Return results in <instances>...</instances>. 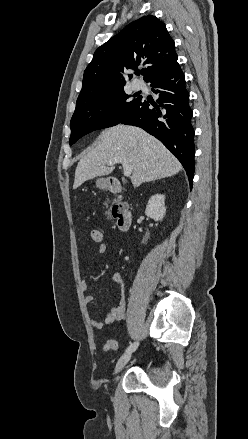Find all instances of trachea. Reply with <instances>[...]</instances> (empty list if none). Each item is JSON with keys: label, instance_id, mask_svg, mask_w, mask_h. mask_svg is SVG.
Returning a JSON list of instances; mask_svg holds the SVG:
<instances>
[{"label": "trachea", "instance_id": "3493384b", "mask_svg": "<svg viewBox=\"0 0 248 439\" xmlns=\"http://www.w3.org/2000/svg\"><path fill=\"white\" fill-rule=\"evenodd\" d=\"M143 72L142 71H137L136 72V75H140V74H142Z\"/></svg>", "mask_w": 248, "mask_h": 439}]
</instances>
